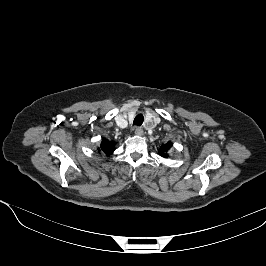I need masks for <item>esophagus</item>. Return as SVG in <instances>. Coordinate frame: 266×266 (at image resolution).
<instances>
[{
	"label": "esophagus",
	"mask_w": 266,
	"mask_h": 266,
	"mask_svg": "<svg viewBox=\"0 0 266 266\" xmlns=\"http://www.w3.org/2000/svg\"><path fill=\"white\" fill-rule=\"evenodd\" d=\"M134 134L138 136H142L144 134L143 129L140 127H136Z\"/></svg>",
	"instance_id": "34e87169"
}]
</instances>
